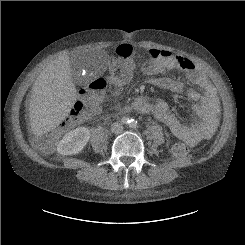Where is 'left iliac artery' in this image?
<instances>
[{"instance_id":"44dca946","label":"left iliac artery","mask_w":245,"mask_h":245,"mask_svg":"<svg viewBox=\"0 0 245 245\" xmlns=\"http://www.w3.org/2000/svg\"><path fill=\"white\" fill-rule=\"evenodd\" d=\"M136 124H137V121H135V120H133V119L130 121V125H131V126H136Z\"/></svg>"}]
</instances>
